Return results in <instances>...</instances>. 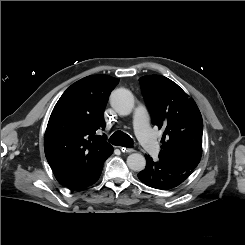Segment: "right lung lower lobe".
Wrapping results in <instances>:
<instances>
[{
	"label": "right lung lower lobe",
	"mask_w": 245,
	"mask_h": 245,
	"mask_svg": "<svg viewBox=\"0 0 245 245\" xmlns=\"http://www.w3.org/2000/svg\"><path fill=\"white\" fill-rule=\"evenodd\" d=\"M105 161L106 159L96 162L89 171H87L71 183L65 185V187L71 190H78L94 184L100 177Z\"/></svg>",
	"instance_id": "right-lung-lower-lobe-1"
}]
</instances>
